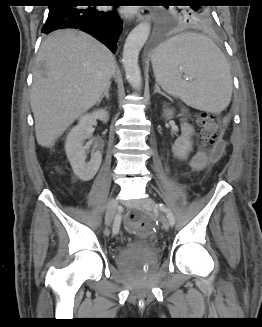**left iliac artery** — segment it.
<instances>
[{
    "label": "left iliac artery",
    "instance_id": "left-iliac-artery-1",
    "mask_svg": "<svg viewBox=\"0 0 262 327\" xmlns=\"http://www.w3.org/2000/svg\"><path fill=\"white\" fill-rule=\"evenodd\" d=\"M156 206L166 214L170 225L173 226L175 224V219H174V216H173L172 212L170 211V209L167 208L163 203H159Z\"/></svg>",
    "mask_w": 262,
    "mask_h": 327
}]
</instances>
